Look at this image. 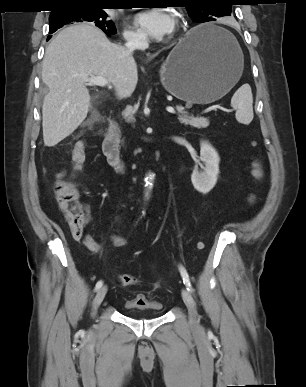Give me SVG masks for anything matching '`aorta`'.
I'll list each match as a JSON object with an SVG mask.
<instances>
[{"label":"aorta","mask_w":306,"mask_h":387,"mask_svg":"<svg viewBox=\"0 0 306 387\" xmlns=\"http://www.w3.org/2000/svg\"><path fill=\"white\" fill-rule=\"evenodd\" d=\"M153 180H154V175H153V174H149V175L146 177V186H147L146 196H147V197L149 196V191H150V189H151Z\"/></svg>","instance_id":"1"}]
</instances>
